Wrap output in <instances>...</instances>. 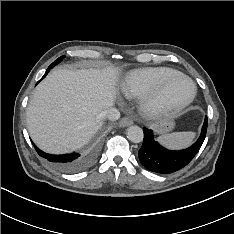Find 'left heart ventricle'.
<instances>
[{
  "mask_svg": "<svg viewBox=\"0 0 234 234\" xmlns=\"http://www.w3.org/2000/svg\"><path fill=\"white\" fill-rule=\"evenodd\" d=\"M191 92V85L185 80H176L164 93V97L169 100H182Z\"/></svg>",
  "mask_w": 234,
  "mask_h": 234,
  "instance_id": "1",
  "label": "left heart ventricle"
}]
</instances>
